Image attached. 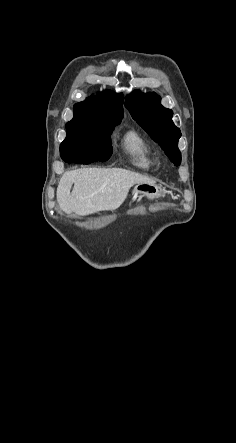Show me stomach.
<instances>
[{"label": "stomach", "instance_id": "0dacf381", "mask_svg": "<svg viewBox=\"0 0 236 443\" xmlns=\"http://www.w3.org/2000/svg\"><path fill=\"white\" fill-rule=\"evenodd\" d=\"M132 194L134 198L136 197H147L149 199L158 198L162 196V190L156 185L149 184H137L133 190Z\"/></svg>", "mask_w": 236, "mask_h": 443}]
</instances>
